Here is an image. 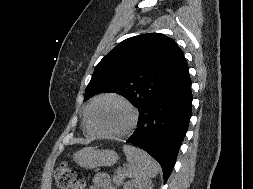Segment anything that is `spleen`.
I'll use <instances>...</instances> for the list:
<instances>
[{"label":"spleen","instance_id":"spleen-1","mask_svg":"<svg viewBox=\"0 0 253 189\" xmlns=\"http://www.w3.org/2000/svg\"><path fill=\"white\" fill-rule=\"evenodd\" d=\"M123 151L129 163L125 172L127 177L146 180L157 176L160 167L147 152L132 145H124Z\"/></svg>","mask_w":253,"mask_h":189}]
</instances>
